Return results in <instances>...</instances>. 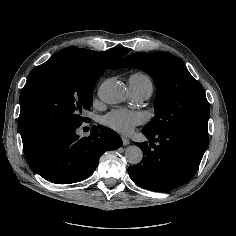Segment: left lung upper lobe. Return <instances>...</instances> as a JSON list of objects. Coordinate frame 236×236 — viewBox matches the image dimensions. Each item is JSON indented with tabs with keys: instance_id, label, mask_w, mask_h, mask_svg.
<instances>
[{
	"instance_id": "1",
	"label": "left lung upper lobe",
	"mask_w": 236,
	"mask_h": 236,
	"mask_svg": "<svg viewBox=\"0 0 236 236\" xmlns=\"http://www.w3.org/2000/svg\"><path fill=\"white\" fill-rule=\"evenodd\" d=\"M121 67L145 71L156 85L155 116L142 131L156 134L173 129L208 134L210 107L204 88L178 57L165 52L133 53L111 69Z\"/></svg>"
}]
</instances>
